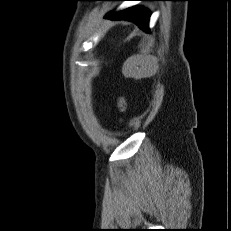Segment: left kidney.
<instances>
[{
    "label": "left kidney",
    "instance_id": "5707ae66",
    "mask_svg": "<svg viewBox=\"0 0 231 231\" xmlns=\"http://www.w3.org/2000/svg\"><path fill=\"white\" fill-rule=\"evenodd\" d=\"M155 59L150 55H134L129 57L122 68L127 78L141 79L151 77L156 73Z\"/></svg>",
    "mask_w": 231,
    "mask_h": 231
}]
</instances>
